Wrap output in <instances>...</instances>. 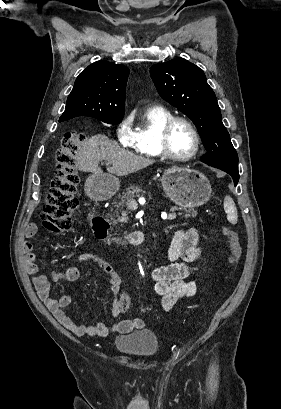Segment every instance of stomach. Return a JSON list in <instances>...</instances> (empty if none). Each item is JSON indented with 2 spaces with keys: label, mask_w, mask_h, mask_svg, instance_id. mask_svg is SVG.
Instances as JSON below:
<instances>
[{
  "label": "stomach",
  "mask_w": 281,
  "mask_h": 409,
  "mask_svg": "<svg viewBox=\"0 0 281 409\" xmlns=\"http://www.w3.org/2000/svg\"><path fill=\"white\" fill-rule=\"evenodd\" d=\"M161 184L170 200L187 209L205 205L212 192L211 184L203 172L184 166L166 168L161 176ZM119 186L120 180L112 174H91L84 190L93 200H108Z\"/></svg>",
  "instance_id": "stomach-1"
}]
</instances>
